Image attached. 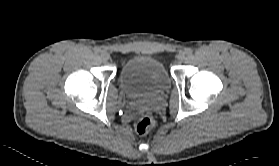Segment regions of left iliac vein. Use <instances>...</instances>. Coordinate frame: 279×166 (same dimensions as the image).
Wrapping results in <instances>:
<instances>
[{"label":"left iliac vein","instance_id":"obj_1","mask_svg":"<svg viewBox=\"0 0 279 166\" xmlns=\"http://www.w3.org/2000/svg\"><path fill=\"white\" fill-rule=\"evenodd\" d=\"M185 57H186V54L183 51H180L178 56H177L178 61H180V62H182L185 59Z\"/></svg>","mask_w":279,"mask_h":166}]
</instances>
